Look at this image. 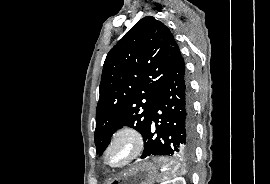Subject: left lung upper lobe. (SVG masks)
<instances>
[{"instance_id": "obj_1", "label": "left lung upper lobe", "mask_w": 270, "mask_h": 184, "mask_svg": "<svg viewBox=\"0 0 270 184\" xmlns=\"http://www.w3.org/2000/svg\"><path fill=\"white\" fill-rule=\"evenodd\" d=\"M180 56L168 27L151 16L138 21L110 50L96 109L95 145L99 154L124 125L144 136L158 92Z\"/></svg>"}]
</instances>
